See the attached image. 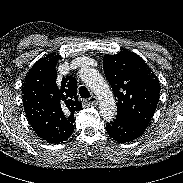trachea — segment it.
Wrapping results in <instances>:
<instances>
[{
    "mask_svg": "<svg viewBox=\"0 0 183 183\" xmlns=\"http://www.w3.org/2000/svg\"><path fill=\"white\" fill-rule=\"evenodd\" d=\"M79 95L81 96V98L85 99V98H89L90 92L88 91V89L85 86H81L79 88Z\"/></svg>",
    "mask_w": 183,
    "mask_h": 183,
    "instance_id": "1",
    "label": "trachea"
}]
</instances>
